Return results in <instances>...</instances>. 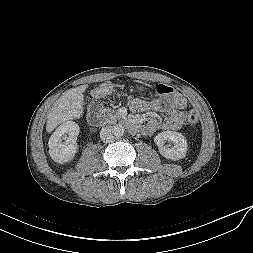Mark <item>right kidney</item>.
I'll use <instances>...</instances> for the list:
<instances>
[{
	"label": "right kidney",
	"instance_id": "right-kidney-1",
	"mask_svg": "<svg viewBox=\"0 0 253 253\" xmlns=\"http://www.w3.org/2000/svg\"><path fill=\"white\" fill-rule=\"evenodd\" d=\"M78 134L79 126L76 123L70 121L60 125L48 142L50 157L59 164L71 161L78 151ZM63 138L66 139L65 142H62Z\"/></svg>",
	"mask_w": 253,
	"mask_h": 253
}]
</instances>
